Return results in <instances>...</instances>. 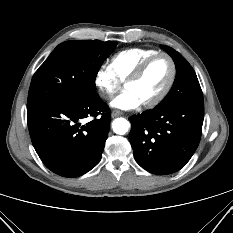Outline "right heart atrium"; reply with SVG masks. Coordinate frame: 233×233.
I'll list each match as a JSON object with an SVG mask.
<instances>
[{
	"label": "right heart atrium",
	"mask_w": 233,
	"mask_h": 233,
	"mask_svg": "<svg viewBox=\"0 0 233 233\" xmlns=\"http://www.w3.org/2000/svg\"><path fill=\"white\" fill-rule=\"evenodd\" d=\"M94 82L104 99L112 98L121 88V83L107 66H102L97 71Z\"/></svg>",
	"instance_id": "obj_1"
}]
</instances>
